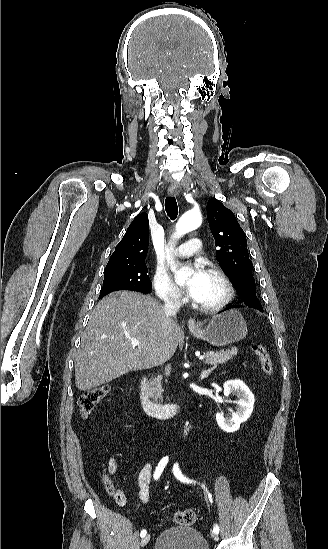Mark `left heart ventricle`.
Returning <instances> with one entry per match:
<instances>
[{
    "label": "left heart ventricle",
    "mask_w": 328,
    "mask_h": 549,
    "mask_svg": "<svg viewBox=\"0 0 328 549\" xmlns=\"http://www.w3.org/2000/svg\"><path fill=\"white\" fill-rule=\"evenodd\" d=\"M205 272L210 269L207 266H199ZM224 293V286L221 280L214 274L207 273L200 296L195 300L202 304H212L218 301Z\"/></svg>",
    "instance_id": "obj_1"
}]
</instances>
